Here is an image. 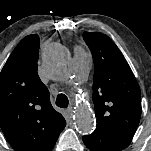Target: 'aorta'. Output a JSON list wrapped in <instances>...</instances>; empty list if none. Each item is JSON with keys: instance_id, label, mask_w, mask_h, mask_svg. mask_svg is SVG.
I'll use <instances>...</instances> for the list:
<instances>
[{"instance_id": "aorta-1", "label": "aorta", "mask_w": 151, "mask_h": 151, "mask_svg": "<svg viewBox=\"0 0 151 151\" xmlns=\"http://www.w3.org/2000/svg\"><path fill=\"white\" fill-rule=\"evenodd\" d=\"M45 62L54 73L65 75L68 62L66 49L59 44L51 45L46 51ZM75 124L77 129L84 134H88L95 129V117L87 105L78 104L75 112Z\"/></svg>"}]
</instances>
